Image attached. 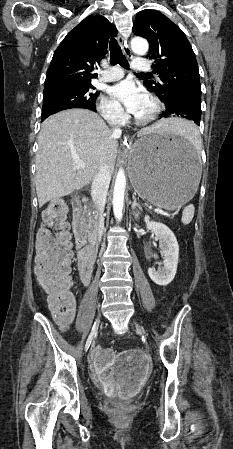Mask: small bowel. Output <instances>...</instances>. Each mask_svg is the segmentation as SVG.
Here are the masks:
<instances>
[{"label":"small bowel","mask_w":233,"mask_h":449,"mask_svg":"<svg viewBox=\"0 0 233 449\" xmlns=\"http://www.w3.org/2000/svg\"><path fill=\"white\" fill-rule=\"evenodd\" d=\"M79 280L88 285L92 280L91 272H80ZM73 317V312L59 323L65 328ZM95 377L102 380L104 390L117 394L118 399H133L137 390H142L143 377H148L150 355L141 354L140 347H125L124 354H115L111 349L96 347L90 353Z\"/></svg>","instance_id":"1"}]
</instances>
